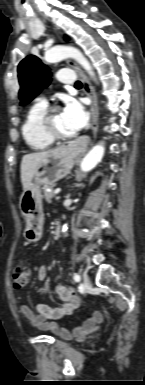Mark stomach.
I'll return each mask as SVG.
<instances>
[{"instance_id":"stomach-1","label":"stomach","mask_w":145,"mask_h":385,"mask_svg":"<svg viewBox=\"0 0 145 385\" xmlns=\"http://www.w3.org/2000/svg\"><path fill=\"white\" fill-rule=\"evenodd\" d=\"M75 154L63 145L51 152L38 166L33 181L19 198L21 213L26 218L24 236L29 242H37L43 232L42 186H52L70 173Z\"/></svg>"}]
</instances>
